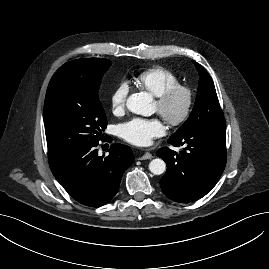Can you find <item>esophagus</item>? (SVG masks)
<instances>
[{
    "label": "esophagus",
    "mask_w": 269,
    "mask_h": 269,
    "mask_svg": "<svg viewBox=\"0 0 269 269\" xmlns=\"http://www.w3.org/2000/svg\"><path fill=\"white\" fill-rule=\"evenodd\" d=\"M152 158H153V156L149 152H145L142 156L139 157L140 160H149Z\"/></svg>",
    "instance_id": "esophagus-1"
}]
</instances>
